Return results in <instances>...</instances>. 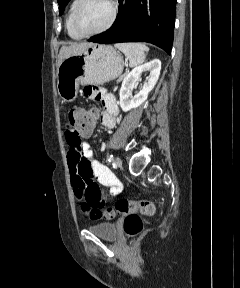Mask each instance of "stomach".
<instances>
[{
	"mask_svg": "<svg viewBox=\"0 0 240 288\" xmlns=\"http://www.w3.org/2000/svg\"><path fill=\"white\" fill-rule=\"evenodd\" d=\"M124 61L110 45L91 44L58 66L57 90L63 102L76 99L79 85H102L119 77Z\"/></svg>",
	"mask_w": 240,
	"mask_h": 288,
	"instance_id": "0dacf381",
	"label": "stomach"
}]
</instances>
